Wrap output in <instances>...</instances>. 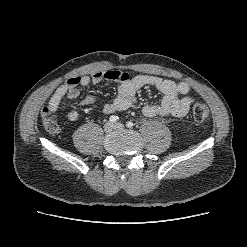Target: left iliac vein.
I'll list each match as a JSON object with an SVG mask.
<instances>
[{
	"label": "left iliac vein",
	"instance_id": "4c4485c4",
	"mask_svg": "<svg viewBox=\"0 0 247 247\" xmlns=\"http://www.w3.org/2000/svg\"><path fill=\"white\" fill-rule=\"evenodd\" d=\"M114 128L115 129H123L124 128V124L121 122H117L114 124Z\"/></svg>",
	"mask_w": 247,
	"mask_h": 247
}]
</instances>
